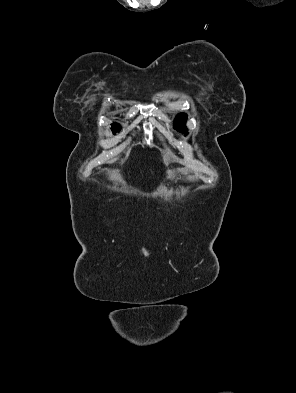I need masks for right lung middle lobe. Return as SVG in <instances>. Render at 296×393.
Wrapping results in <instances>:
<instances>
[{"label":"right lung middle lobe","instance_id":"obj_1","mask_svg":"<svg viewBox=\"0 0 296 393\" xmlns=\"http://www.w3.org/2000/svg\"><path fill=\"white\" fill-rule=\"evenodd\" d=\"M120 126L117 123L112 124L114 134L119 131Z\"/></svg>","mask_w":296,"mask_h":393}]
</instances>
